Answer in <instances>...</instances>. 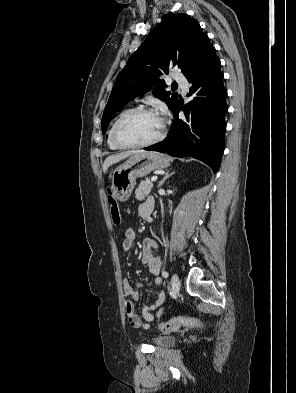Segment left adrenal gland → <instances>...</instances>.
<instances>
[{"instance_id": "1", "label": "left adrenal gland", "mask_w": 296, "mask_h": 393, "mask_svg": "<svg viewBox=\"0 0 296 393\" xmlns=\"http://www.w3.org/2000/svg\"><path fill=\"white\" fill-rule=\"evenodd\" d=\"M174 173H175V172L169 173V171H167V172L165 173L163 179L159 182L158 187H161V186L165 183V181H166L169 177H171Z\"/></svg>"}]
</instances>
